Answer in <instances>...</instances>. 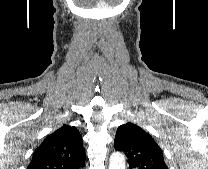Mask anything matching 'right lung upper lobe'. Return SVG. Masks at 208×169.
Here are the masks:
<instances>
[{"mask_svg":"<svg viewBox=\"0 0 208 169\" xmlns=\"http://www.w3.org/2000/svg\"><path fill=\"white\" fill-rule=\"evenodd\" d=\"M85 163V150L79 131L63 125L35 150L28 169H79Z\"/></svg>","mask_w":208,"mask_h":169,"instance_id":"obj_1","label":"right lung upper lobe"}]
</instances>
